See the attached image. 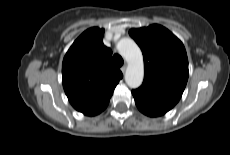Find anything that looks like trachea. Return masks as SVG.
<instances>
[{"mask_svg": "<svg viewBox=\"0 0 230 155\" xmlns=\"http://www.w3.org/2000/svg\"><path fill=\"white\" fill-rule=\"evenodd\" d=\"M113 62L117 67H121L124 64V60L119 54L113 56Z\"/></svg>", "mask_w": 230, "mask_h": 155, "instance_id": "obj_1", "label": "trachea"}]
</instances>
